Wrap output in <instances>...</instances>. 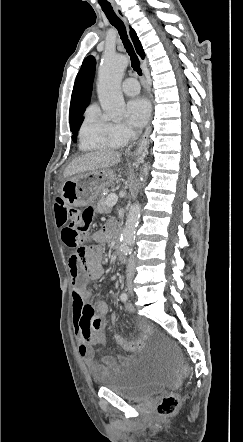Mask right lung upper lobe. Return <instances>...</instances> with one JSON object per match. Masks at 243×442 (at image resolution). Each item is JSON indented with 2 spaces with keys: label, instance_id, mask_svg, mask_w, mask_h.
<instances>
[{
  "label": "right lung upper lobe",
  "instance_id": "right-lung-upper-lobe-1",
  "mask_svg": "<svg viewBox=\"0 0 243 442\" xmlns=\"http://www.w3.org/2000/svg\"><path fill=\"white\" fill-rule=\"evenodd\" d=\"M130 35L136 47L137 53L143 59L145 57V53L135 31L132 28L130 29ZM95 66L96 62L94 57L89 56L84 60L77 74L70 103V125L78 120H83L82 115L90 102Z\"/></svg>",
  "mask_w": 243,
  "mask_h": 442
}]
</instances>
